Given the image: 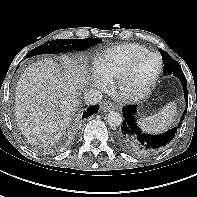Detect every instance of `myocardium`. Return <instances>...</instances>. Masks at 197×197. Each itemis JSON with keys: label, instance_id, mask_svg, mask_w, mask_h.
<instances>
[{"label": "myocardium", "instance_id": "obj_1", "mask_svg": "<svg viewBox=\"0 0 197 197\" xmlns=\"http://www.w3.org/2000/svg\"><path fill=\"white\" fill-rule=\"evenodd\" d=\"M156 56L159 61L158 69L154 76L151 78V80L140 90L133 91L128 87V83L130 81V78L138 65V63L143 60L147 56ZM163 70V60L161 55L158 52L154 51H148L145 53H142L138 55L136 58H134L131 63L127 66V68L124 70V72L118 77L116 83H115V93L116 95L126 101H137L140 99H143L146 97L154 88L156 85L157 80L159 79L161 73Z\"/></svg>", "mask_w": 197, "mask_h": 197}]
</instances>
